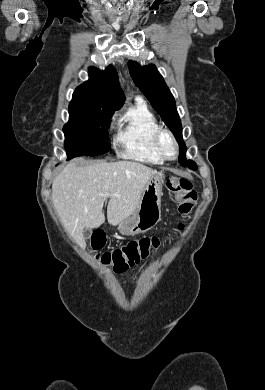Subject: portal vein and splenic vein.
Masks as SVG:
<instances>
[{
    "label": "portal vein and splenic vein",
    "mask_w": 265,
    "mask_h": 390,
    "mask_svg": "<svg viewBox=\"0 0 265 390\" xmlns=\"http://www.w3.org/2000/svg\"><path fill=\"white\" fill-rule=\"evenodd\" d=\"M108 195H109V193H106V194H104L103 196H104V197H107Z\"/></svg>",
    "instance_id": "portal-vein-and-splenic-vein-1"
}]
</instances>
